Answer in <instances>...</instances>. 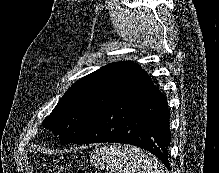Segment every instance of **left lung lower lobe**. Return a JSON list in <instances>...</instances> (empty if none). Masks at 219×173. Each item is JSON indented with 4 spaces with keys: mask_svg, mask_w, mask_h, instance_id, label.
<instances>
[{
    "mask_svg": "<svg viewBox=\"0 0 219 173\" xmlns=\"http://www.w3.org/2000/svg\"><path fill=\"white\" fill-rule=\"evenodd\" d=\"M169 116L167 98L142 70L132 84L101 109L73 143L135 145L150 151L169 168Z\"/></svg>",
    "mask_w": 219,
    "mask_h": 173,
    "instance_id": "0a47b994",
    "label": "left lung lower lobe"
}]
</instances>
